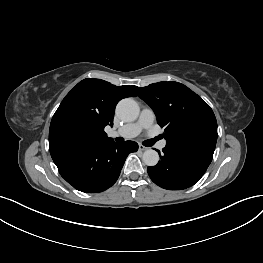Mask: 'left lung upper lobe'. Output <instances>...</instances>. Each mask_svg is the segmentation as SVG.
Wrapping results in <instances>:
<instances>
[{
	"label": "left lung upper lobe",
	"mask_w": 263,
	"mask_h": 263,
	"mask_svg": "<svg viewBox=\"0 0 263 263\" xmlns=\"http://www.w3.org/2000/svg\"><path fill=\"white\" fill-rule=\"evenodd\" d=\"M165 128L166 147L212 159L217 141V121L210 106L185 85L170 81L133 86Z\"/></svg>",
	"instance_id": "left-lung-upper-lobe-1"
}]
</instances>
